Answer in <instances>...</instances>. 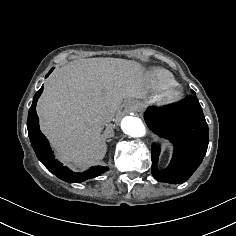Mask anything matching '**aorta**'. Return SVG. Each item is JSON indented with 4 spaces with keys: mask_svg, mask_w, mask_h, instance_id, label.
<instances>
[{
    "mask_svg": "<svg viewBox=\"0 0 236 236\" xmlns=\"http://www.w3.org/2000/svg\"><path fill=\"white\" fill-rule=\"evenodd\" d=\"M121 129L131 137H143L146 133L145 126L140 118L126 116L121 121Z\"/></svg>",
    "mask_w": 236,
    "mask_h": 236,
    "instance_id": "1",
    "label": "aorta"
}]
</instances>
